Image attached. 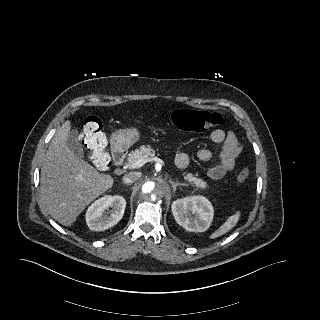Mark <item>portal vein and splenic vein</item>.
<instances>
[{"instance_id":"obj_1","label":"portal vein and splenic vein","mask_w":320,"mask_h":320,"mask_svg":"<svg viewBox=\"0 0 320 320\" xmlns=\"http://www.w3.org/2000/svg\"><path fill=\"white\" fill-rule=\"evenodd\" d=\"M151 160H155V161H158L160 163H163V161L161 159H159V158L146 159V160L140 159V160H137L135 162L128 163L127 164V168H129V169L139 168V167L143 166L146 162L151 161Z\"/></svg>"}]
</instances>
